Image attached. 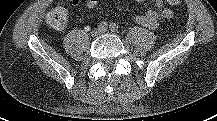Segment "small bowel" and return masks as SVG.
Masks as SVG:
<instances>
[{
	"mask_svg": "<svg viewBox=\"0 0 217 121\" xmlns=\"http://www.w3.org/2000/svg\"><path fill=\"white\" fill-rule=\"evenodd\" d=\"M77 2V0H73ZM142 2L144 0H135ZM97 4V0H87L86 5L89 9H93ZM173 16V12L170 8L166 7L164 0H155V9L149 10L148 12L137 15L135 17L136 22L140 25L155 29L159 26L160 22L166 19H170Z\"/></svg>",
	"mask_w": 217,
	"mask_h": 121,
	"instance_id": "1",
	"label": "small bowel"
}]
</instances>
